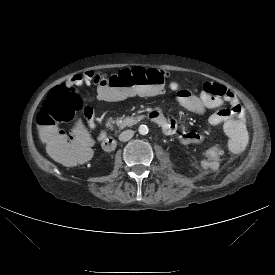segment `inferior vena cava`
Segmentation results:
<instances>
[{
  "instance_id": "inferior-vena-cava-1",
  "label": "inferior vena cava",
  "mask_w": 275,
  "mask_h": 275,
  "mask_svg": "<svg viewBox=\"0 0 275 275\" xmlns=\"http://www.w3.org/2000/svg\"><path fill=\"white\" fill-rule=\"evenodd\" d=\"M134 136V131L133 130H125L119 135V140L126 142L130 140Z\"/></svg>"
}]
</instances>
